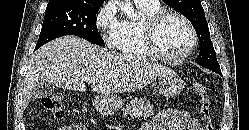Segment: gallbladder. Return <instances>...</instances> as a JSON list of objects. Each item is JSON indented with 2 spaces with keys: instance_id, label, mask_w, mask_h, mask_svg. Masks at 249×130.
I'll return each instance as SVG.
<instances>
[{
  "instance_id": "obj_1",
  "label": "gallbladder",
  "mask_w": 249,
  "mask_h": 130,
  "mask_svg": "<svg viewBox=\"0 0 249 130\" xmlns=\"http://www.w3.org/2000/svg\"><path fill=\"white\" fill-rule=\"evenodd\" d=\"M54 94V86L45 81L37 82L31 91V100L45 98Z\"/></svg>"
}]
</instances>
